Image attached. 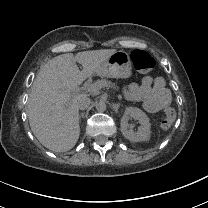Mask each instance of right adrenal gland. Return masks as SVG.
<instances>
[{
  "instance_id": "obj_1",
  "label": "right adrenal gland",
  "mask_w": 208,
  "mask_h": 208,
  "mask_svg": "<svg viewBox=\"0 0 208 208\" xmlns=\"http://www.w3.org/2000/svg\"><path fill=\"white\" fill-rule=\"evenodd\" d=\"M83 117H84V114H83V113L79 115V119H80V120H81Z\"/></svg>"
}]
</instances>
